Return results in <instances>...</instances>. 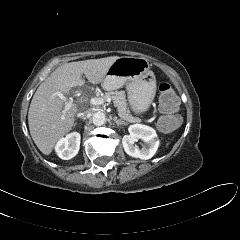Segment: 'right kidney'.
I'll return each mask as SVG.
<instances>
[{"mask_svg": "<svg viewBox=\"0 0 240 240\" xmlns=\"http://www.w3.org/2000/svg\"><path fill=\"white\" fill-rule=\"evenodd\" d=\"M81 136L78 132H72L65 138H61L56 146L57 155L63 160H69L76 156L80 148Z\"/></svg>", "mask_w": 240, "mask_h": 240, "instance_id": "right-kidney-1", "label": "right kidney"}]
</instances>
